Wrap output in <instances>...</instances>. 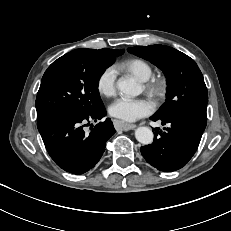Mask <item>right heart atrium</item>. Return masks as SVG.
Segmentation results:
<instances>
[{
    "instance_id": "d8ad5b80",
    "label": "right heart atrium",
    "mask_w": 231,
    "mask_h": 231,
    "mask_svg": "<svg viewBox=\"0 0 231 231\" xmlns=\"http://www.w3.org/2000/svg\"><path fill=\"white\" fill-rule=\"evenodd\" d=\"M117 70L113 66H108L99 74L97 78V90L105 96L111 97L116 93Z\"/></svg>"
}]
</instances>
